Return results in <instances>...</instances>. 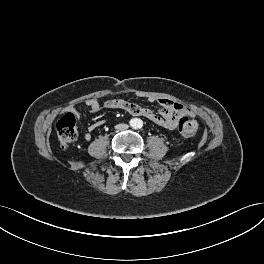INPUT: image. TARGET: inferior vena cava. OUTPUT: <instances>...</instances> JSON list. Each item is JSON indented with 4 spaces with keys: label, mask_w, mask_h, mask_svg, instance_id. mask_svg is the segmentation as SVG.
Returning <instances> with one entry per match:
<instances>
[{
    "label": "inferior vena cava",
    "mask_w": 264,
    "mask_h": 264,
    "mask_svg": "<svg viewBox=\"0 0 264 264\" xmlns=\"http://www.w3.org/2000/svg\"><path fill=\"white\" fill-rule=\"evenodd\" d=\"M128 125L127 124H118V125H116L115 126V128L117 129V130H120V131H122V130H126V129H128Z\"/></svg>",
    "instance_id": "inferior-vena-cava-1"
}]
</instances>
